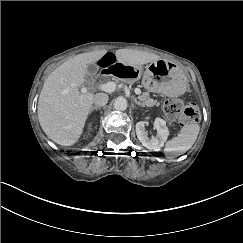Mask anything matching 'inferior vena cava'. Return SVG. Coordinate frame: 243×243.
<instances>
[{
  "label": "inferior vena cava",
  "mask_w": 243,
  "mask_h": 243,
  "mask_svg": "<svg viewBox=\"0 0 243 243\" xmlns=\"http://www.w3.org/2000/svg\"><path fill=\"white\" fill-rule=\"evenodd\" d=\"M108 100H109V97H108L107 94H105V93H98V94H96L94 96L93 102H94V104L96 106L100 107V106L106 105Z\"/></svg>",
  "instance_id": "1"
}]
</instances>
